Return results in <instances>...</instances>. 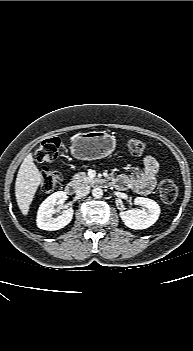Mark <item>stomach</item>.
Returning <instances> with one entry per match:
<instances>
[{"instance_id":"obj_1","label":"stomach","mask_w":193,"mask_h":351,"mask_svg":"<svg viewBox=\"0 0 193 351\" xmlns=\"http://www.w3.org/2000/svg\"><path fill=\"white\" fill-rule=\"evenodd\" d=\"M116 147V140L106 131L78 134L71 143L70 152L78 160H96L109 156Z\"/></svg>"}]
</instances>
